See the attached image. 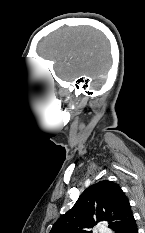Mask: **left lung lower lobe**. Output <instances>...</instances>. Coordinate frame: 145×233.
<instances>
[{
  "label": "left lung lower lobe",
  "mask_w": 145,
  "mask_h": 233,
  "mask_svg": "<svg viewBox=\"0 0 145 233\" xmlns=\"http://www.w3.org/2000/svg\"><path fill=\"white\" fill-rule=\"evenodd\" d=\"M124 233H138V227L135 219L131 222V224L128 226Z\"/></svg>",
  "instance_id": "left-lung-lower-lobe-1"
}]
</instances>
